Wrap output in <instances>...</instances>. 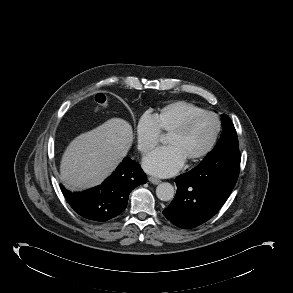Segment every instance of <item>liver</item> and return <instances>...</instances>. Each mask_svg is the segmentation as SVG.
I'll return each instance as SVG.
<instances>
[{
  "label": "liver",
  "mask_w": 293,
  "mask_h": 293,
  "mask_svg": "<svg viewBox=\"0 0 293 293\" xmlns=\"http://www.w3.org/2000/svg\"><path fill=\"white\" fill-rule=\"evenodd\" d=\"M133 142L131 125L112 118L76 137L65 150L60 179L70 190L99 185L127 155Z\"/></svg>",
  "instance_id": "1"
}]
</instances>
